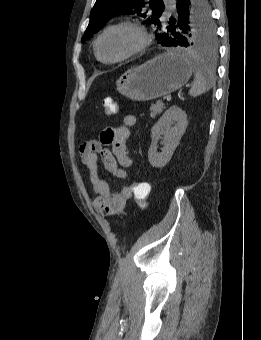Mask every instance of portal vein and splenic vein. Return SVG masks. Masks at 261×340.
I'll list each match as a JSON object with an SVG mask.
<instances>
[{
    "instance_id": "obj_1",
    "label": "portal vein and splenic vein",
    "mask_w": 261,
    "mask_h": 340,
    "mask_svg": "<svg viewBox=\"0 0 261 340\" xmlns=\"http://www.w3.org/2000/svg\"><path fill=\"white\" fill-rule=\"evenodd\" d=\"M170 99H171V98L168 97V96L163 97V101H167V100H170Z\"/></svg>"
}]
</instances>
